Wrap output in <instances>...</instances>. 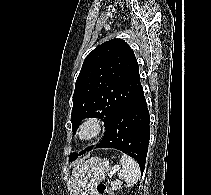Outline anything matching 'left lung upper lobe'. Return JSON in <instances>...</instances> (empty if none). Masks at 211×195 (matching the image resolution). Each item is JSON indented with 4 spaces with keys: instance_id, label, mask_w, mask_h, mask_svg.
<instances>
[{
    "instance_id": "obj_1",
    "label": "left lung upper lobe",
    "mask_w": 211,
    "mask_h": 195,
    "mask_svg": "<svg viewBox=\"0 0 211 195\" xmlns=\"http://www.w3.org/2000/svg\"><path fill=\"white\" fill-rule=\"evenodd\" d=\"M140 86L138 62L124 40L112 39L97 46L85 58L76 80L71 114L73 132L88 117L102 119L106 129ZM77 157V153L70 155L71 160Z\"/></svg>"
}]
</instances>
